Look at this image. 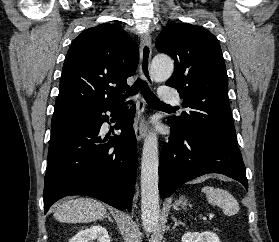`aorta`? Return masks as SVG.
<instances>
[{"label": "aorta", "mask_w": 279, "mask_h": 242, "mask_svg": "<svg viewBox=\"0 0 279 242\" xmlns=\"http://www.w3.org/2000/svg\"><path fill=\"white\" fill-rule=\"evenodd\" d=\"M173 71L174 63L170 57L157 55L153 58L151 76L156 82H165ZM158 166L157 136L149 133L144 141L141 158V217L143 228L147 232L156 229L160 215Z\"/></svg>", "instance_id": "762f6f07"}]
</instances>
